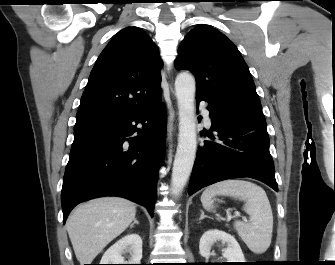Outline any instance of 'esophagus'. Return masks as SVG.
Segmentation results:
<instances>
[{
    "label": "esophagus",
    "instance_id": "obj_1",
    "mask_svg": "<svg viewBox=\"0 0 335 265\" xmlns=\"http://www.w3.org/2000/svg\"><path fill=\"white\" fill-rule=\"evenodd\" d=\"M170 138H171V129L170 127H168V140H170Z\"/></svg>",
    "mask_w": 335,
    "mask_h": 265
}]
</instances>
